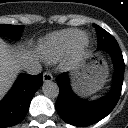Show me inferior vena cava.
Here are the masks:
<instances>
[{
    "mask_svg": "<svg viewBox=\"0 0 128 128\" xmlns=\"http://www.w3.org/2000/svg\"><path fill=\"white\" fill-rule=\"evenodd\" d=\"M23 69L31 75H37L39 73H41L42 71V67L40 64H38L37 62H33V61H28L26 63L23 64Z\"/></svg>",
    "mask_w": 128,
    "mask_h": 128,
    "instance_id": "1",
    "label": "inferior vena cava"
}]
</instances>
